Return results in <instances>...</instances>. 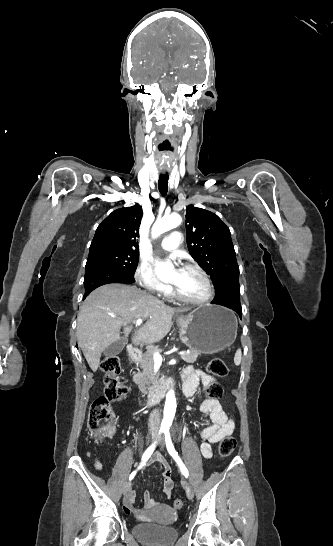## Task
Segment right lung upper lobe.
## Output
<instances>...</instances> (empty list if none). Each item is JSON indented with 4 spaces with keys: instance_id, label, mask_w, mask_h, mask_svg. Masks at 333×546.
<instances>
[{
    "instance_id": "1",
    "label": "right lung upper lobe",
    "mask_w": 333,
    "mask_h": 546,
    "mask_svg": "<svg viewBox=\"0 0 333 546\" xmlns=\"http://www.w3.org/2000/svg\"><path fill=\"white\" fill-rule=\"evenodd\" d=\"M141 219L139 204L113 211L96 229L90 251L108 247L138 251L136 237Z\"/></svg>"
}]
</instances>
